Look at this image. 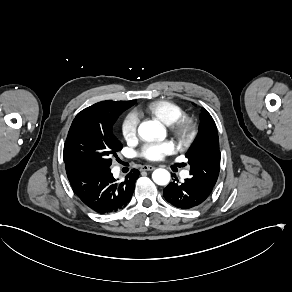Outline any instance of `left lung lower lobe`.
Here are the masks:
<instances>
[{
    "mask_svg": "<svg viewBox=\"0 0 292 292\" xmlns=\"http://www.w3.org/2000/svg\"><path fill=\"white\" fill-rule=\"evenodd\" d=\"M213 187L191 178L178 183V179L171 182L163 191L167 202L176 208L191 209L203 203L211 194Z\"/></svg>",
    "mask_w": 292,
    "mask_h": 292,
    "instance_id": "1",
    "label": "left lung lower lobe"
}]
</instances>
